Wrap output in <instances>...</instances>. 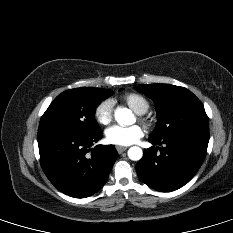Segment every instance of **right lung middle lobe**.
Here are the masks:
<instances>
[{
    "instance_id": "1",
    "label": "right lung middle lobe",
    "mask_w": 233,
    "mask_h": 233,
    "mask_svg": "<svg viewBox=\"0 0 233 233\" xmlns=\"http://www.w3.org/2000/svg\"><path fill=\"white\" fill-rule=\"evenodd\" d=\"M113 94L100 88H75L59 94L41 117L39 131L63 129L85 134L101 132L95 120L96 107Z\"/></svg>"
}]
</instances>
